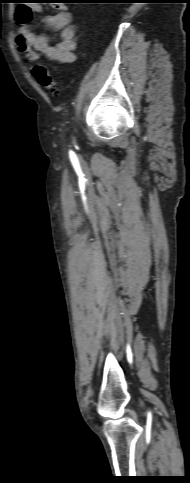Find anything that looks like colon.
I'll list each match as a JSON object with an SVG mask.
<instances>
[{"instance_id":"5ec220e1","label":"colon","mask_w":190,"mask_h":483,"mask_svg":"<svg viewBox=\"0 0 190 483\" xmlns=\"http://www.w3.org/2000/svg\"><path fill=\"white\" fill-rule=\"evenodd\" d=\"M33 77L52 94H59L62 84L52 76L43 64H36L32 68Z\"/></svg>"}]
</instances>
